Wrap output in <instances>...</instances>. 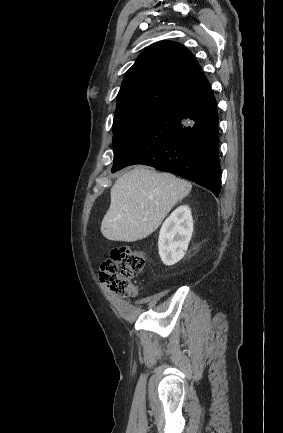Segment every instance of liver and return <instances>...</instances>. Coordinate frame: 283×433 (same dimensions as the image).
I'll return each mask as SVG.
<instances>
[{
	"instance_id": "6515ba94",
	"label": "liver",
	"mask_w": 283,
	"mask_h": 433,
	"mask_svg": "<svg viewBox=\"0 0 283 433\" xmlns=\"http://www.w3.org/2000/svg\"><path fill=\"white\" fill-rule=\"evenodd\" d=\"M191 182L170 172L133 168L115 180L101 223L109 241H140L154 233L172 206L189 194Z\"/></svg>"
}]
</instances>
